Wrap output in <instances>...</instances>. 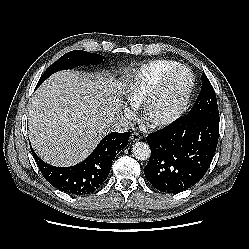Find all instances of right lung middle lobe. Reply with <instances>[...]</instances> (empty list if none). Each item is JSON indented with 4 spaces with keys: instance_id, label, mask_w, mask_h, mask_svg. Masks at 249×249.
Returning <instances> with one entry per match:
<instances>
[{
    "instance_id": "dd1d6c3e",
    "label": "right lung middle lobe",
    "mask_w": 249,
    "mask_h": 249,
    "mask_svg": "<svg viewBox=\"0 0 249 249\" xmlns=\"http://www.w3.org/2000/svg\"><path fill=\"white\" fill-rule=\"evenodd\" d=\"M104 57L99 54H94L82 50H74L66 53L56 62H54L41 76L37 86L45 81L53 73L64 70L72 69L78 65H96L103 62Z\"/></svg>"
}]
</instances>
